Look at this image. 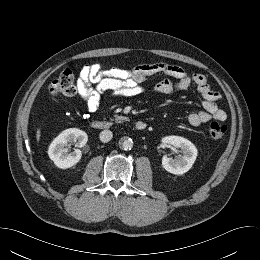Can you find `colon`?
I'll return each mask as SVG.
<instances>
[{
	"label": "colon",
	"instance_id": "1",
	"mask_svg": "<svg viewBox=\"0 0 260 260\" xmlns=\"http://www.w3.org/2000/svg\"><path fill=\"white\" fill-rule=\"evenodd\" d=\"M49 93L54 96H71L76 92L75 76L72 71H62L49 85ZM227 131L225 124L213 122L209 127V134L212 139H221Z\"/></svg>",
	"mask_w": 260,
	"mask_h": 260
}]
</instances>
